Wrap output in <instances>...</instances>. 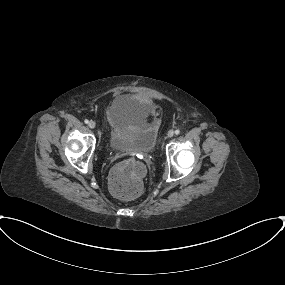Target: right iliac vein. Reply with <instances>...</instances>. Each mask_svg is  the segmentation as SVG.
<instances>
[{
	"label": "right iliac vein",
	"instance_id": "63e3f726",
	"mask_svg": "<svg viewBox=\"0 0 285 285\" xmlns=\"http://www.w3.org/2000/svg\"><path fill=\"white\" fill-rule=\"evenodd\" d=\"M88 125L91 129H94L96 127V123L93 120H91Z\"/></svg>",
	"mask_w": 285,
	"mask_h": 285
}]
</instances>
